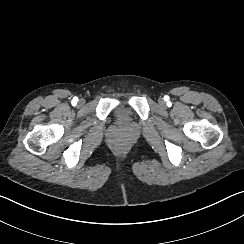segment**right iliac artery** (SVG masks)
<instances>
[{
    "label": "right iliac artery",
    "mask_w": 244,
    "mask_h": 244,
    "mask_svg": "<svg viewBox=\"0 0 244 244\" xmlns=\"http://www.w3.org/2000/svg\"><path fill=\"white\" fill-rule=\"evenodd\" d=\"M76 101H77V98H74L73 101H72V103H76Z\"/></svg>",
    "instance_id": "82829eb1"
}]
</instances>
